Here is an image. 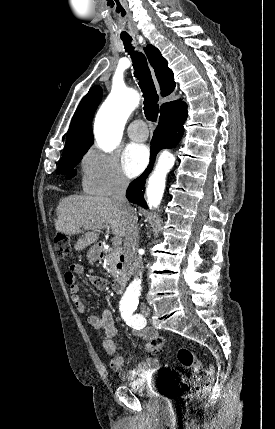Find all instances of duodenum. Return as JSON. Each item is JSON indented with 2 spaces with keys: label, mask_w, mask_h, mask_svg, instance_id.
Here are the masks:
<instances>
[{
  "label": "duodenum",
  "mask_w": 275,
  "mask_h": 429,
  "mask_svg": "<svg viewBox=\"0 0 275 429\" xmlns=\"http://www.w3.org/2000/svg\"><path fill=\"white\" fill-rule=\"evenodd\" d=\"M97 254L100 258H104L109 254V251L102 244L97 245ZM126 275L124 273H120L113 281L112 288L115 293L121 294L124 291L126 285Z\"/></svg>",
  "instance_id": "410a0bca"
}]
</instances>
